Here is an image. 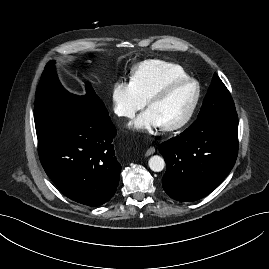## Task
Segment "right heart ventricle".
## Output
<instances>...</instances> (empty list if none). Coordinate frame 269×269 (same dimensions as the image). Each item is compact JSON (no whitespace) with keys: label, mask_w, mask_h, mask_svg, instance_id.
I'll use <instances>...</instances> for the list:
<instances>
[{"label":"right heart ventricle","mask_w":269,"mask_h":269,"mask_svg":"<svg viewBox=\"0 0 269 269\" xmlns=\"http://www.w3.org/2000/svg\"><path fill=\"white\" fill-rule=\"evenodd\" d=\"M187 77L188 74L181 66L153 59L138 64L131 73L130 82L146 102L154 92L166 84Z\"/></svg>","instance_id":"right-heart-ventricle-1"}]
</instances>
